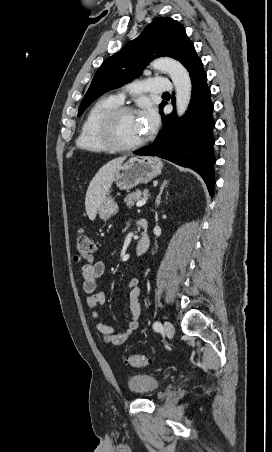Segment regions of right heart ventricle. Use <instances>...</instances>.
<instances>
[{"instance_id": "1", "label": "right heart ventricle", "mask_w": 272, "mask_h": 452, "mask_svg": "<svg viewBox=\"0 0 272 452\" xmlns=\"http://www.w3.org/2000/svg\"><path fill=\"white\" fill-rule=\"evenodd\" d=\"M118 105H120V102L114 96H104L93 103L81 124L76 140L80 149L90 152H107L110 150L99 134L98 122L107 110Z\"/></svg>"}]
</instances>
